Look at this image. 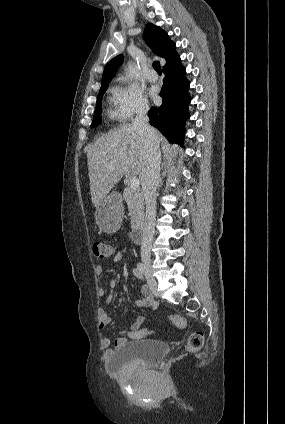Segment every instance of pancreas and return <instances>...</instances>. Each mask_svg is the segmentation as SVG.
<instances>
[{"instance_id":"obj_1","label":"pancreas","mask_w":285,"mask_h":424,"mask_svg":"<svg viewBox=\"0 0 285 424\" xmlns=\"http://www.w3.org/2000/svg\"><path fill=\"white\" fill-rule=\"evenodd\" d=\"M123 198L127 203L131 216V227L136 228L142 222L144 216V198L142 191L131 189L127 186L123 191Z\"/></svg>"}]
</instances>
